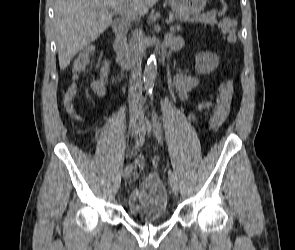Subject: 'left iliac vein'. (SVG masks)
<instances>
[{
	"instance_id": "obj_1",
	"label": "left iliac vein",
	"mask_w": 295,
	"mask_h": 250,
	"mask_svg": "<svg viewBox=\"0 0 295 250\" xmlns=\"http://www.w3.org/2000/svg\"><path fill=\"white\" fill-rule=\"evenodd\" d=\"M153 127L151 123L148 120H145L141 125V131L146 132L148 135H150L153 132ZM171 191L176 196L178 194V188L177 185L173 184L171 185Z\"/></svg>"
}]
</instances>
